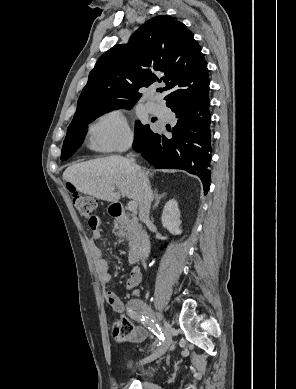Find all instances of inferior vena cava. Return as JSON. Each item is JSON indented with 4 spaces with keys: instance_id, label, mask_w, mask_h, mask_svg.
Segmentation results:
<instances>
[{
    "instance_id": "obj_1",
    "label": "inferior vena cava",
    "mask_w": 296,
    "mask_h": 389,
    "mask_svg": "<svg viewBox=\"0 0 296 389\" xmlns=\"http://www.w3.org/2000/svg\"><path fill=\"white\" fill-rule=\"evenodd\" d=\"M130 162L132 164H135L133 158L130 159ZM138 174L141 179V189H142V196L139 204V219L142 222H145L149 219L153 195H152V190L149 185L148 179L143 175L141 171H139ZM143 237H144L145 245L147 246L149 244V239H148V235L145 232L143 233Z\"/></svg>"
}]
</instances>
